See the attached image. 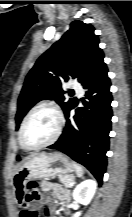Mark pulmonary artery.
<instances>
[{"mask_svg": "<svg viewBox=\"0 0 132 217\" xmlns=\"http://www.w3.org/2000/svg\"><path fill=\"white\" fill-rule=\"evenodd\" d=\"M72 88L76 91V93H77L78 95H82V93H83V88L81 87V85L75 83V84L72 85Z\"/></svg>", "mask_w": 132, "mask_h": 217, "instance_id": "e3ab8cb5", "label": "pulmonary artery"}]
</instances>
